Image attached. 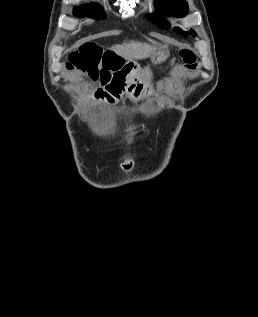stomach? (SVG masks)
<instances>
[{"label":"stomach","instance_id":"obj_1","mask_svg":"<svg viewBox=\"0 0 258 317\" xmlns=\"http://www.w3.org/2000/svg\"><path fill=\"white\" fill-rule=\"evenodd\" d=\"M169 56V52H160V54H155V56H153L152 60H154V62H162V60H166V58H168ZM129 64H137V62H129ZM136 68H138L139 72H140V68L137 64ZM139 80V78H138Z\"/></svg>","mask_w":258,"mask_h":317}]
</instances>
